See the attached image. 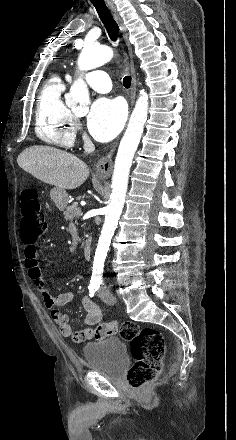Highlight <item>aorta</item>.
Masks as SVG:
<instances>
[{"label": "aorta", "mask_w": 236, "mask_h": 440, "mask_svg": "<svg viewBox=\"0 0 236 440\" xmlns=\"http://www.w3.org/2000/svg\"><path fill=\"white\" fill-rule=\"evenodd\" d=\"M113 56L114 51L111 47L85 46L78 58V68L80 71L94 69L109 62ZM89 101L88 87L83 79L78 78L70 88L69 94L66 97V105L71 108L85 110ZM148 106V95L144 90H141L115 159L111 200L105 210V220L93 261V281L101 279L111 239L123 210L130 168L147 121Z\"/></svg>", "instance_id": "aorta-1"}]
</instances>
